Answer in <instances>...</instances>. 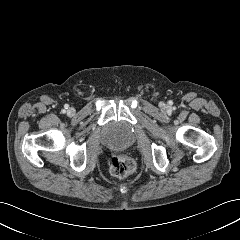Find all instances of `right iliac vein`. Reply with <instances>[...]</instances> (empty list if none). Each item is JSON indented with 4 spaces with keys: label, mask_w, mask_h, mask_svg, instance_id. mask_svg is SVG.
<instances>
[{
    "label": "right iliac vein",
    "mask_w": 240,
    "mask_h": 240,
    "mask_svg": "<svg viewBox=\"0 0 240 240\" xmlns=\"http://www.w3.org/2000/svg\"><path fill=\"white\" fill-rule=\"evenodd\" d=\"M74 112V109L73 108H70L69 109V113H73Z\"/></svg>",
    "instance_id": "63e3f726"
}]
</instances>
